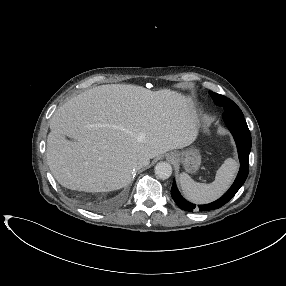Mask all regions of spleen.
Segmentation results:
<instances>
[{"mask_svg":"<svg viewBox=\"0 0 286 286\" xmlns=\"http://www.w3.org/2000/svg\"><path fill=\"white\" fill-rule=\"evenodd\" d=\"M238 171V163L232 158L224 161L210 184L195 182L188 174L180 175V186L184 196L196 204L210 203L221 197L232 184Z\"/></svg>","mask_w":286,"mask_h":286,"instance_id":"1","label":"spleen"}]
</instances>
